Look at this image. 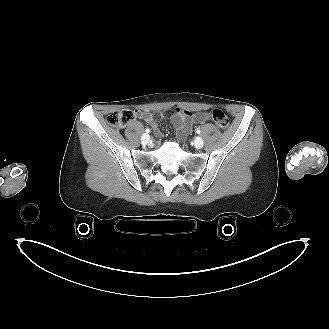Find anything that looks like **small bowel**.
I'll use <instances>...</instances> for the list:
<instances>
[{"mask_svg":"<svg viewBox=\"0 0 329 329\" xmlns=\"http://www.w3.org/2000/svg\"><path fill=\"white\" fill-rule=\"evenodd\" d=\"M166 115L167 114L165 112H162L159 114V117L163 118ZM140 117H142L147 123H149L153 127L154 134L157 137H161L163 135L160 127L156 123V120L151 113L140 114ZM170 119L176 129L177 138L179 140L185 139L187 134L191 131L194 123H204L207 120V118L201 114H195L189 111H182L178 108H173L171 110Z\"/></svg>","mask_w":329,"mask_h":329,"instance_id":"c3829d8e","label":"small bowel"}]
</instances>
